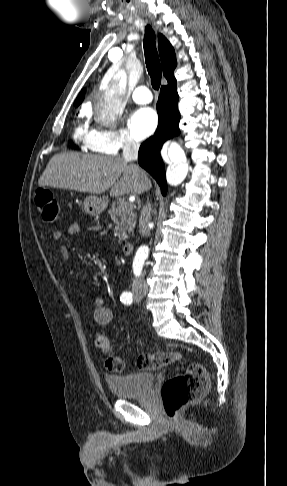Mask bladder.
<instances>
[{"instance_id": "1", "label": "bladder", "mask_w": 287, "mask_h": 486, "mask_svg": "<svg viewBox=\"0 0 287 486\" xmlns=\"http://www.w3.org/2000/svg\"><path fill=\"white\" fill-rule=\"evenodd\" d=\"M105 381L117 397L132 398L147 394L154 385L155 375L152 373L107 375Z\"/></svg>"}]
</instances>
